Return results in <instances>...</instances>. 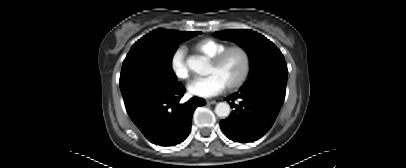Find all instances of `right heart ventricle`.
Segmentation results:
<instances>
[{
    "label": "right heart ventricle",
    "instance_id": "right-heart-ventricle-1",
    "mask_svg": "<svg viewBox=\"0 0 406 168\" xmlns=\"http://www.w3.org/2000/svg\"><path fill=\"white\" fill-rule=\"evenodd\" d=\"M226 47L227 44L214 39H203L194 45V49L208 59H211Z\"/></svg>",
    "mask_w": 406,
    "mask_h": 168
}]
</instances>
